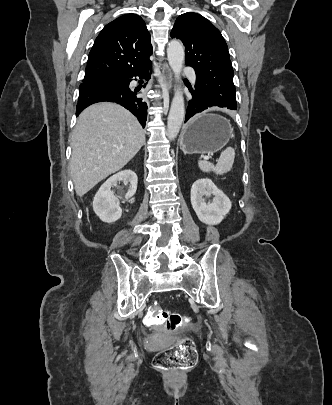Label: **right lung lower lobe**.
<instances>
[{"mask_svg":"<svg viewBox=\"0 0 332 405\" xmlns=\"http://www.w3.org/2000/svg\"><path fill=\"white\" fill-rule=\"evenodd\" d=\"M151 62L136 71L118 75L99 77L83 81L79 87V99L77 103L76 115L78 116L86 107L93 103L110 101L116 102L130 112H132L141 125L145 127L147 119V104L138 97L141 88H131L130 82L133 77H146L149 79L148 70Z\"/></svg>","mask_w":332,"mask_h":405,"instance_id":"98d812e1","label":"right lung lower lobe"}]
</instances>
